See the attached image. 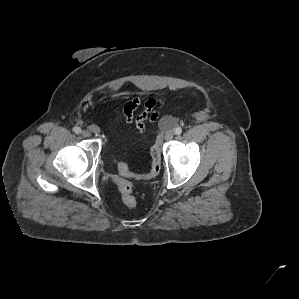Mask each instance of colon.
<instances>
[{"instance_id": "1", "label": "colon", "mask_w": 299, "mask_h": 299, "mask_svg": "<svg viewBox=\"0 0 299 299\" xmlns=\"http://www.w3.org/2000/svg\"><path fill=\"white\" fill-rule=\"evenodd\" d=\"M172 122L170 119L165 120V125H170ZM151 163L150 169L145 174H137L133 172L127 163L120 162L118 164L119 176L114 177V181L117 184L121 200L123 204L127 207H134L136 205V198L132 193V183L128 180L132 179H149L157 175L160 171L161 161H162V151L158 145L151 148Z\"/></svg>"}]
</instances>
